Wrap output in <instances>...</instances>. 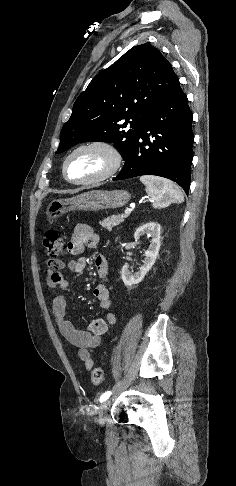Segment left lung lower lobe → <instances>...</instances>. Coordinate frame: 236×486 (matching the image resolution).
Instances as JSON below:
<instances>
[{
    "mask_svg": "<svg viewBox=\"0 0 236 486\" xmlns=\"http://www.w3.org/2000/svg\"><path fill=\"white\" fill-rule=\"evenodd\" d=\"M192 121L187 96L178 80L146 120L114 180L157 175L176 182L188 194L194 143Z\"/></svg>",
    "mask_w": 236,
    "mask_h": 486,
    "instance_id": "0a47b994",
    "label": "left lung lower lobe"
}]
</instances>
